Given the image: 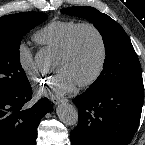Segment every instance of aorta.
<instances>
[{
    "label": "aorta",
    "instance_id": "762f6f07",
    "mask_svg": "<svg viewBox=\"0 0 145 145\" xmlns=\"http://www.w3.org/2000/svg\"><path fill=\"white\" fill-rule=\"evenodd\" d=\"M35 61L38 66L40 67H47L50 63V57L47 52L40 51L35 56ZM58 118L61 122L66 125L74 126L78 122V111L77 109L69 104V103H62L56 109Z\"/></svg>",
    "mask_w": 145,
    "mask_h": 145
}]
</instances>
